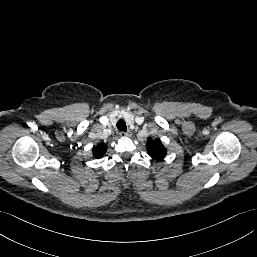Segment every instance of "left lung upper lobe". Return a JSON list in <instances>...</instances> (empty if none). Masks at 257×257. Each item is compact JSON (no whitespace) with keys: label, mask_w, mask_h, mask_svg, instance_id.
Segmentation results:
<instances>
[{"label":"left lung upper lobe","mask_w":257,"mask_h":257,"mask_svg":"<svg viewBox=\"0 0 257 257\" xmlns=\"http://www.w3.org/2000/svg\"><path fill=\"white\" fill-rule=\"evenodd\" d=\"M146 149L150 157L156 160L164 158L166 155V148L161 143L160 139L148 140L146 143Z\"/></svg>","instance_id":"5c2ea615"}]
</instances>
